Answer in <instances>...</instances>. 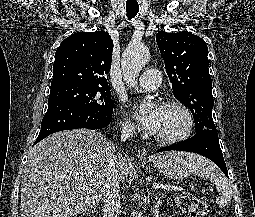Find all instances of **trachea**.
Returning <instances> with one entry per match:
<instances>
[{"instance_id": "1", "label": "trachea", "mask_w": 255, "mask_h": 217, "mask_svg": "<svg viewBox=\"0 0 255 217\" xmlns=\"http://www.w3.org/2000/svg\"><path fill=\"white\" fill-rule=\"evenodd\" d=\"M126 11H127V17L128 19L134 18L138 11H139V5L138 3H126Z\"/></svg>"}]
</instances>
